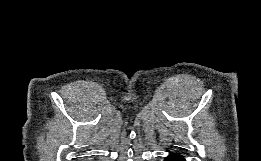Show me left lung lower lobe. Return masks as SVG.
Segmentation results:
<instances>
[{"label": "left lung lower lobe", "mask_w": 261, "mask_h": 161, "mask_svg": "<svg viewBox=\"0 0 261 161\" xmlns=\"http://www.w3.org/2000/svg\"><path fill=\"white\" fill-rule=\"evenodd\" d=\"M165 161H186L183 157H181L180 155L174 153V154H170Z\"/></svg>", "instance_id": "0a47b994"}]
</instances>
